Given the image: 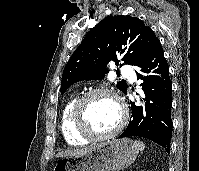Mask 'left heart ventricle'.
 I'll return each instance as SVG.
<instances>
[{"label":"left heart ventricle","instance_id":"1","mask_svg":"<svg viewBox=\"0 0 199 171\" xmlns=\"http://www.w3.org/2000/svg\"><path fill=\"white\" fill-rule=\"evenodd\" d=\"M86 114L89 126L96 133L113 130L121 118L118 104L108 95L92 97L87 103Z\"/></svg>","mask_w":199,"mask_h":171}]
</instances>
